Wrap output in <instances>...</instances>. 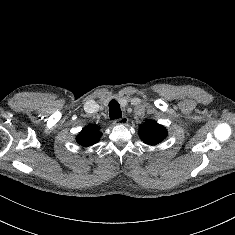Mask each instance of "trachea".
<instances>
[{
    "label": "trachea",
    "instance_id": "1",
    "mask_svg": "<svg viewBox=\"0 0 235 235\" xmlns=\"http://www.w3.org/2000/svg\"><path fill=\"white\" fill-rule=\"evenodd\" d=\"M109 117L111 120L122 117L120 105L116 100H111L109 103Z\"/></svg>",
    "mask_w": 235,
    "mask_h": 235
}]
</instances>
